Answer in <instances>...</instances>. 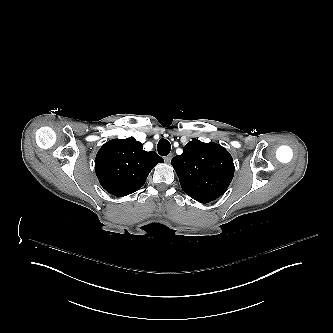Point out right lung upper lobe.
<instances>
[{"instance_id":"cb5924a9","label":"right lung upper lobe","mask_w":333,"mask_h":333,"mask_svg":"<svg viewBox=\"0 0 333 333\" xmlns=\"http://www.w3.org/2000/svg\"><path fill=\"white\" fill-rule=\"evenodd\" d=\"M162 162L154 151L146 152L141 142L129 137L106 142L96 155L95 171L107 192L123 197L140 189L151 169Z\"/></svg>"}]
</instances>
